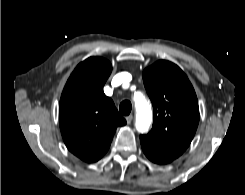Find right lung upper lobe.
<instances>
[{"label": "right lung upper lobe", "instance_id": "1", "mask_svg": "<svg viewBox=\"0 0 245 195\" xmlns=\"http://www.w3.org/2000/svg\"><path fill=\"white\" fill-rule=\"evenodd\" d=\"M112 71L109 61L90 57L68 79L59 104L60 129L70 152L85 162L98 161L126 120L103 92Z\"/></svg>", "mask_w": 245, "mask_h": 195}]
</instances>
